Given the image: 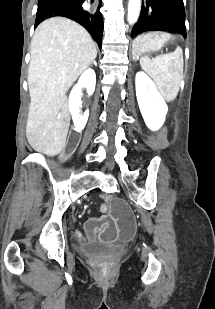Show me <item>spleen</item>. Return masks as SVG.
<instances>
[{
	"instance_id": "3e777b00",
	"label": "spleen",
	"mask_w": 215,
	"mask_h": 309,
	"mask_svg": "<svg viewBox=\"0 0 215 309\" xmlns=\"http://www.w3.org/2000/svg\"><path fill=\"white\" fill-rule=\"evenodd\" d=\"M181 58L182 48L180 46H176L174 52L158 54L154 60H151L149 56H141L140 58L143 70L153 78L156 88L167 102L174 100L179 92Z\"/></svg>"
}]
</instances>
